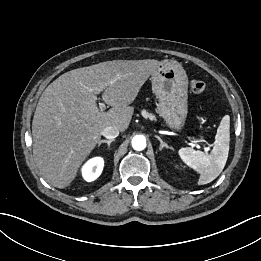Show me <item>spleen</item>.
<instances>
[{
  "label": "spleen",
  "instance_id": "1",
  "mask_svg": "<svg viewBox=\"0 0 261 261\" xmlns=\"http://www.w3.org/2000/svg\"><path fill=\"white\" fill-rule=\"evenodd\" d=\"M229 142L230 118L225 116L217 129L211 154L207 155L190 147L178 151L183 162L200 174L198 185L212 182L223 171L228 158Z\"/></svg>",
  "mask_w": 261,
  "mask_h": 261
}]
</instances>
